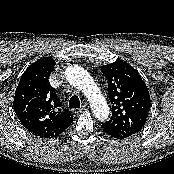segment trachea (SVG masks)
<instances>
[{
    "instance_id": "trachea-1",
    "label": "trachea",
    "mask_w": 174,
    "mask_h": 174,
    "mask_svg": "<svg viewBox=\"0 0 174 174\" xmlns=\"http://www.w3.org/2000/svg\"><path fill=\"white\" fill-rule=\"evenodd\" d=\"M69 108H80V100L79 97L76 95H73L69 100Z\"/></svg>"
}]
</instances>
